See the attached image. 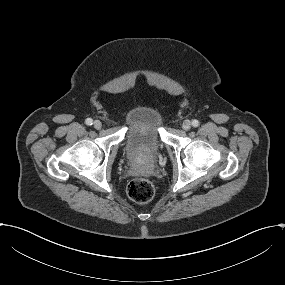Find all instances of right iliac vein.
I'll return each instance as SVG.
<instances>
[{
  "mask_svg": "<svg viewBox=\"0 0 285 285\" xmlns=\"http://www.w3.org/2000/svg\"><path fill=\"white\" fill-rule=\"evenodd\" d=\"M93 125L96 129H100L102 127V123L99 120H96Z\"/></svg>",
  "mask_w": 285,
  "mask_h": 285,
  "instance_id": "obj_1",
  "label": "right iliac vein"
}]
</instances>
